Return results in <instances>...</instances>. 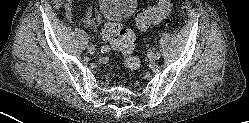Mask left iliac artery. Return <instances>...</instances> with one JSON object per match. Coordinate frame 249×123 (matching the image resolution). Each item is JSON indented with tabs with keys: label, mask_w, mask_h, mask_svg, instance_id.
Masks as SVG:
<instances>
[{
	"label": "left iliac artery",
	"mask_w": 249,
	"mask_h": 123,
	"mask_svg": "<svg viewBox=\"0 0 249 123\" xmlns=\"http://www.w3.org/2000/svg\"><path fill=\"white\" fill-rule=\"evenodd\" d=\"M155 58H156V59H159V58H160V52H159V51H156V53H155Z\"/></svg>",
	"instance_id": "left-iliac-artery-1"
}]
</instances>
